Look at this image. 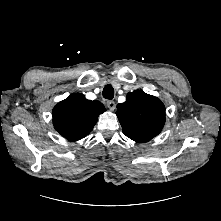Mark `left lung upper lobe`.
Returning a JSON list of instances; mask_svg holds the SVG:
<instances>
[{"mask_svg":"<svg viewBox=\"0 0 221 221\" xmlns=\"http://www.w3.org/2000/svg\"><path fill=\"white\" fill-rule=\"evenodd\" d=\"M116 115L127 137L145 143L161 132L165 106L157 97L136 90L129 92L127 100L117 105Z\"/></svg>","mask_w":221,"mask_h":221,"instance_id":"1","label":"left lung upper lobe"}]
</instances>
